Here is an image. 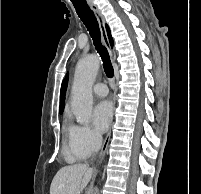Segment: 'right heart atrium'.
<instances>
[{"label": "right heart atrium", "mask_w": 201, "mask_h": 194, "mask_svg": "<svg viewBox=\"0 0 201 194\" xmlns=\"http://www.w3.org/2000/svg\"><path fill=\"white\" fill-rule=\"evenodd\" d=\"M68 140L70 151L83 158L97 151L102 143L100 134L85 124L71 125Z\"/></svg>", "instance_id": "right-heart-atrium-1"}]
</instances>
